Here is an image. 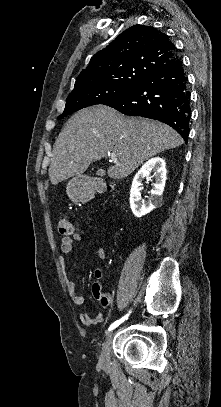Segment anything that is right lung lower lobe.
<instances>
[{
	"instance_id": "obj_1",
	"label": "right lung lower lobe",
	"mask_w": 221,
	"mask_h": 407,
	"mask_svg": "<svg viewBox=\"0 0 221 407\" xmlns=\"http://www.w3.org/2000/svg\"><path fill=\"white\" fill-rule=\"evenodd\" d=\"M104 105L125 115L161 121L174 128L185 142L188 141L190 91L188 78L178 55L149 74L127 93L107 101Z\"/></svg>"
}]
</instances>
